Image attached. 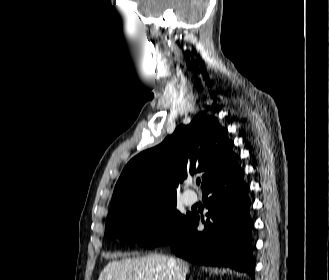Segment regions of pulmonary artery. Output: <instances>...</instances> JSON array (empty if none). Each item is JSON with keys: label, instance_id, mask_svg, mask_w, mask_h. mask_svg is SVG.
Instances as JSON below:
<instances>
[{"label": "pulmonary artery", "instance_id": "1", "mask_svg": "<svg viewBox=\"0 0 329 280\" xmlns=\"http://www.w3.org/2000/svg\"><path fill=\"white\" fill-rule=\"evenodd\" d=\"M184 199H185L186 204L192 205V204L196 203L198 196L194 191H186L184 193Z\"/></svg>", "mask_w": 329, "mask_h": 280}]
</instances>
